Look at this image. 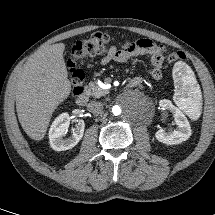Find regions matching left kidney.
<instances>
[{
  "instance_id": "5707ae66",
  "label": "left kidney",
  "mask_w": 215,
  "mask_h": 215,
  "mask_svg": "<svg viewBox=\"0 0 215 215\" xmlns=\"http://www.w3.org/2000/svg\"><path fill=\"white\" fill-rule=\"evenodd\" d=\"M189 69V67H187ZM159 105L166 110L172 112L177 128L173 131H166L160 129L155 133V137L159 142H162L167 145L180 144L183 141H186L190 138L192 131L190 124L181 112L180 109L175 107L171 101L164 99L159 102Z\"/></svg>"
}]
</instances>
